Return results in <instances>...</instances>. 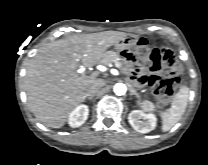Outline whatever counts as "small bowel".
Masks as SVG:
<instances>
[{
    "mask_svg": "<svg viewBox=\"0 0 208 165\" xmlns=\"http://www.w3.org/2000/svg\"><path fill=\"white\" fill-rule=\"evenodd\" d=\"M121 57L126 60L130 61V63L125 62L122 64L121 69L123 72L128 73V77L132 81H137L140 86L147 87L150 84V79L148 74L146 73L145 69L142 68L141 58L137 51L129 50L124 48L120 52Z\"/></svg>",
    "mask_w": 208,
    "mask_h": 165,
    "instance_id": "1",
    "label": "small bowel"
}]
</instances>
